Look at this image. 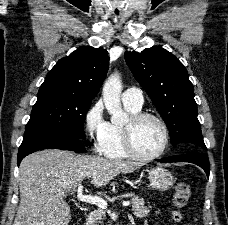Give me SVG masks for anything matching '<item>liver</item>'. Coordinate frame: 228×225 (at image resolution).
<instances>
[{"instance_id":"1","label":"liver","mask_w":228,"mask_h":225,"mask_svg":"<svg viewBox=\"0 0 228 225\" xmlns=\"http://www.w3.org/2000/svg\"><path fill=\"white\" fill-rule=\"evenodd\" d=\"M139 167L72 151L46 149L25 157L19 167L20 205L14 225H68L70 207L62 195L75 193L88 177L94 187H106L120 173Z\"/></svg>"}]
</instances>
